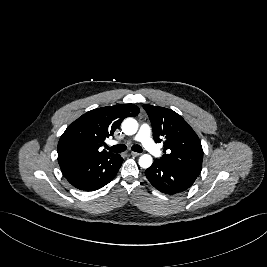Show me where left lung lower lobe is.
Here are the masks:
<instances>
[{
	"label": "left lung lower lobe",
	"instance_id": "obj_1",
	"mask_svg": "<svg viewBox=\"0 0 267 267\" xmlns=\"http://www.w3.org/2000/svg\"><path fill=\"white\" fill-rule=\"evenodd\" d=\"M145 175L157 190L169 195L187 190L198 177L167 167L157 160L145 171Z\"/></svg>",
	"mask_w": 267,
	"mask_h": 267
}]
</instances>
